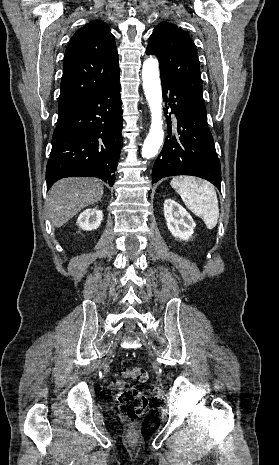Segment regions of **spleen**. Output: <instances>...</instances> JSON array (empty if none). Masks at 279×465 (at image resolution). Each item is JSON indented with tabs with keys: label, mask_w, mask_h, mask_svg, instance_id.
<instances>
[{
	"label": "spleen",
	"mask_w": 279,
	"mask_h": 465,
	"mask_svg": "<svg viewBox=\"0 0 279 465\" xmlns=\"http://www.w3.org/2000/svg\"><path fill=\"white\" fill-rule=\"evenodd\" d=\"M171 186L181 196L186 206L201 217L208 229H213L219 218V206L214 187L194 177H175Z\"/></svg>",
	"instance_id": "spleen-1"
}]
</instances>
